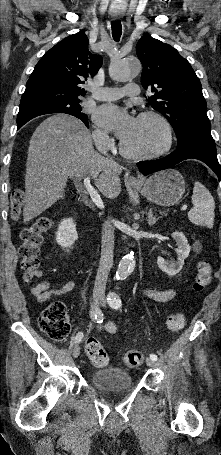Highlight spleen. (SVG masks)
I'll return each instance as SVG.
<instances>
[{"label": "spleen", "instance_id": "3e777b00", "mask_svg": "<svg viewBox=\"0 0 221 455\" xmlns=\"http://www.w3.org/2000/svg\"><path fill=\"white\" fill-rule=\"evenodd\" d=\"M193 209L188 212V219L195 225L213 227L215 201L209 190L200 182H195L192 194Z\"/></svg>", "mask_w": 221, "mask_h": 455}]
</instances>
